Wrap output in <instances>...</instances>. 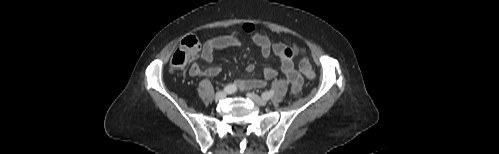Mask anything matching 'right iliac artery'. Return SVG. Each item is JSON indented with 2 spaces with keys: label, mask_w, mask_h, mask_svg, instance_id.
I'll use <instances>...</instances> for the list:
<instances>
[{
  "label": "right iliac artery",
  "mask_w": 499,
  "mask_h": 154,
  "mask_svg": "<svg viewBox=\"0 0 499 154\" xmlns=\"http://www.w3.org/2000/svg\"><path fill=\"white\" fill-rule=\"evenodd\" d=\"M237 90V87L235 84H229L224 87V91L227 92L228 94H232Z\"/></svg>",
  "instance_id": "right-iliac-artery-1"
}]
</instances>
